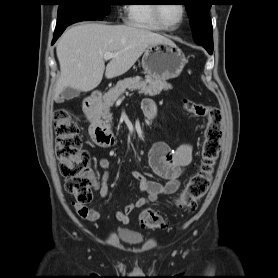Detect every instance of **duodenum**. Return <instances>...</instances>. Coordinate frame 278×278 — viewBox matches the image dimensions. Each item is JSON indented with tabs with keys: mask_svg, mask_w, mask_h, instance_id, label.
<instances>
[{
	"mask_svg": "<svg viewBox=\"0 0 278 278\" xmlns=\"http://www.w3.org/2000/svg\"><path fill=\"white\" fill-rule=\"evenodd\" d=\"M102 92L95 90L83 104V110L90 122L89 132L92 139L101 146H110L116 139L109 128L102 122L98 114V107L102 99Z\"/></svg>",
	"mask_w": 278,
	"mask_h": 278,
	"instance_id": "duodenum-1",
	"label": "duodenum"
}]
</instances>
